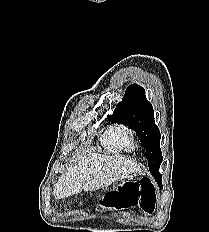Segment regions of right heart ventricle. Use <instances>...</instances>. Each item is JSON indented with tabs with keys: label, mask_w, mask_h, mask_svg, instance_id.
Masks as SVG:
<instances>
[{
	"label": "right heart ventricle",
	"mask_w": 209,
	"mask_h": 232,
	"mask_svg": "<svg viewBox=\"0 0 209 232\" xmlns=\"http://www.w3.org/2000/svg\"><path fill=\"white\" fill-rule=\"evenodd\" d=\"M115 126L109 127L101 137L102 145L111 152H120L123 148L119 145L115 135Z\"/></svg>",
	"instance_id": "obj_1"
}]
</instances>
